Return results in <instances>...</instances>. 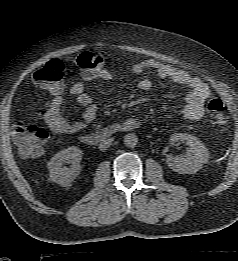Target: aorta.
<instances>
[{
	"label": "aorta",
	"mask_w": 238,
	"mask_h": 261,
	"mask_svg": "<svg viewBox=\"0 0 238 261\" xmlns=\"http://www.w3.org/2000/svg\"><path fill=\"white\" fill-rule=\"evenodd\" d=\"M138 143V137L134 133H128L124 136V144L129 147L133 148Z\"/></svg>",
	"instance_id": "obj_1"
}]
</instances>
